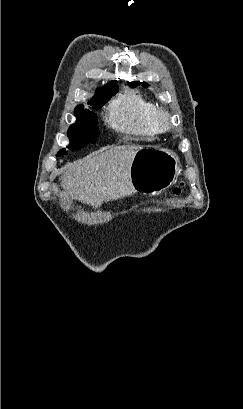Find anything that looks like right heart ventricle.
<instances>
[{
  "mask_svg": "<svg viewBox=\"0 0 243 409\" xmlns=\"http://www.w3.org/2000/svg\"><path fill=\"white\" fill-rule=\"evenodd\" d=\"M157 110L154 102L126 90L110 103L107 121L118 132L150 141L159 134L155 123Z\"/></svg>",
  "mask_w": 243,
  "mask_h": 409,
  "instance_id": "1",
  "label": "right heart ventricle"
}]
</instances>
